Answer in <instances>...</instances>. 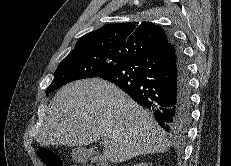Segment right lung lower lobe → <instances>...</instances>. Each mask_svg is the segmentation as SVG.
<instances>
[{
  "label": "right lung lower lobe",
  "instance_id": "1",
  "mask_svg": "<svg viewBox=\"0 0 231 166\" xmlns=\"http://www.w3.org/2000/svg\"><path fill=\"white\" fill-rule=\"evenodd\" d=\"M97 77L114 83L151 111L167 133H186L191 89L184 55L172 40L155 52L117 64Z\"/></svg>",
  "mask_w": 231,
  "mask_h": 166
}]
</instances>
